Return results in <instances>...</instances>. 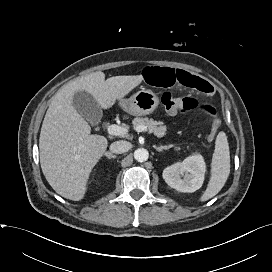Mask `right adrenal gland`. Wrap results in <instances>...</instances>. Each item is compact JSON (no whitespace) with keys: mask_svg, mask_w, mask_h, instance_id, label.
Returning <instances> with one entry per match:
<instances>
[{"mask_svg":"<svg viewBox=\"0 0 272 272\" xmlns=\"http://www.w3.org/2000/svg\"><path fill=\"white\" fill-rule=\"evenodd\" d=\"M107 158L111 159V158H116V155L112 154L111 152H105L104 154Z\"/></svg>","mask_w":272,"mask_h":272,"instance_id":"right-adrenal-gland-1","label":"right adrenal gland"}]
</instances>
